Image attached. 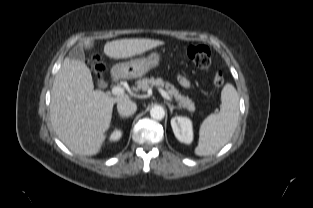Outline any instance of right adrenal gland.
Instances as JSON below:
<instances>
[{"label":"right adrenal gland","instance_id":"2a0ac1e0","mask_svg":"<svg viewBox=\"0 0 313 208\" xmlns=\"http://www.w3.org/2000/svg\"><path fill=\"white\" fill-rule=\"evenodd\" d=\"M119 116L122 118V119H126V118H128L129 116H124V115H121V114H119Z\"/></svg>","mask_w":313,"mask_h":208}]
</instances>
